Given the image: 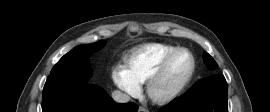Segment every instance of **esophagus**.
<instances>
[{
	"mask_svg": "<svg viewBox=\"0 0 270 112\" xmlns=\"http://www.w3.org/2000/svg\"><path fill=\"white\" fill-rule=\"evenodd\" d=\"M138 112H149L147 109L143 108V107H140L138 109Z\"/></svg>",
	"mask_w": 270,
	"mask_h": 112,
	"instance_id": "34e87169",
	"label": "esophagus"
}]
</instances>
